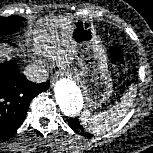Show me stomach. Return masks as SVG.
<instances>
[{"mask_svg": "<svg viewBox=\"0 0 153 153\" xmlns=\"http://www.w3.org/2000/svg\"><path fill=\"white\" fill-rule=\"evenodd\" d=\"M71 38L75 46V59L81 67L75 77L84 92L87 106L91 109L97 108L113 92L105 48L93 23L86 19L73 21Z\"/></svg>", "mask_w": 153, "mask_h": 153, "instance_id": "1", "label": "stomach"}]
</instances>
